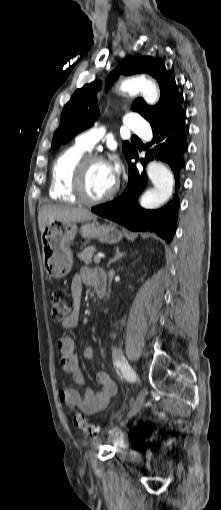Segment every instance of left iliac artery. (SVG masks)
<instances>
[{
  "label": "left iliac artery",
  "mask_w": 221,
  "mask_h": 510,
  "mask_svg": "<svg viewBox=\"0 0 221 510\" xmlns=\"http://www.w3.org/2000/svg\"><path fill=\"white\" fill-rule=\"evenodd\" d=\"M114 364L117 368L121 370L126 380H128L129 382H135L138 380L135 371L131 368L128 362L119 354L115 355Z\"/></svg>",
  "instance_id": "left-iliac-artery-1"
}]
</instances>
